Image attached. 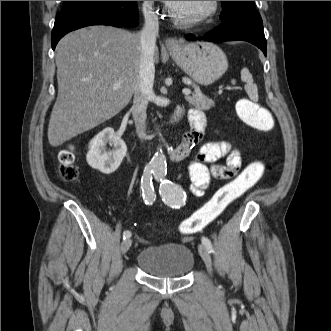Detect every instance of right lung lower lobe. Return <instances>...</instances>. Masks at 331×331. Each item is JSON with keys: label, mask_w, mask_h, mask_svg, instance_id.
I'll return each instance as SVG.
<instances>
[{"label": "right lung lower lobe", "mask_w": 331, "mask_h": 331, "mask_svg": "<svg viewBox=\"0 0 331 331\" xmlns=\"http://www.w3.org/2000/svg\"><path fill=\"white\" fill-rule=\"evenodd\" d=\"M138 24L136 1H101L58 13L52 31V49L68 32L90 25L134 27Z\"/></svg>", "instance_id": "98d812e1"}]
</instances>
